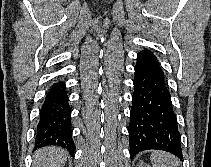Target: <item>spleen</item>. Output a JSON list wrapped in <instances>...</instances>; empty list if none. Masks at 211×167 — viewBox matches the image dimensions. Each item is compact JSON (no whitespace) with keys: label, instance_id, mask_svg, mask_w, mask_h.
I'll return each instance as SVG.
<instances>
[{"label":"spleen","instance_id":"obj_1","mask_svg":"<svg viewBox=\"0 0 211 167\" xmlns=\"http://www.w3.org/2000/svg\"><path fill=\"white\" fill-rule=\"evenodd\" d=\"M150 160L153 167H180V162L174 155L163 151H153Z\"/></svg>","mask_w":211,"mask_h":167}]
</instances>
